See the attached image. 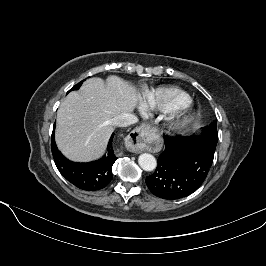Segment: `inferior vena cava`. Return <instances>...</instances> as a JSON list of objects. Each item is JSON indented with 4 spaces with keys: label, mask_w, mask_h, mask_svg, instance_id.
<instances>
[{
    "label": "inferior vena cava",
    "mask_w": 266,
    "mask_h": 266,
    "mask_svg": "<svg viewBox=\"0 0 266 266\" xmlns=\"http://www.w3.org/2000/svg\"><path fill=\"white\" fill-rule=\"evenodd\" d=\"M137 121L138 119L135 115L131 113H122L111 119V124L116 127H127L135 124Z\"/></svg>",
    "instance_id": "obj_1"
}]
</instances>
